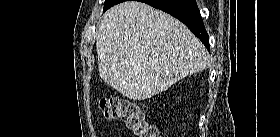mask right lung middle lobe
<instances>
[{"instance_id":"1","label":"right lung middle lobe","mask_w":280,"mask_h":137,"mask_svg":"<svg viewBox=\"0 0 280 137\" xmlns=\"http://www.w3.org/2000/svg\"><path fill=\"white\" fill-rule=\"evenodd\" d=\"M124 0H106L105 1V5H104V10L103 11H106L107 9H109L110 7L118 4V3H121L123 2Z\"/></svg>"}]
</instances>
